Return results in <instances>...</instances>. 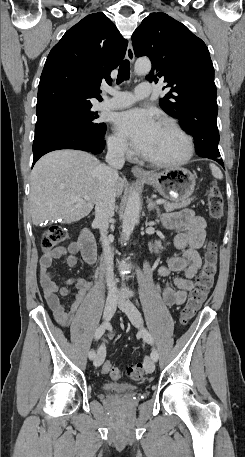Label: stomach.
<instances>
[{"mask_svg":"<svg viewBox=\"0 0 245 457\" xmlns=\"http://www.w3.org/2000/svg\"><path fill=\"white\" fill-rule=\"evenodd\" d=\"M152 180H145L146 184H152L164 198L174 200V202H180V200H186L190 194H192L195 184L196 176L192 174L188 168H165L161 172H154Z\"/></svg>","mask_w":245,"mask_h":457,"instance_id":"0dacf381","label":"stomach"}]
</instances>
